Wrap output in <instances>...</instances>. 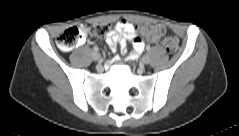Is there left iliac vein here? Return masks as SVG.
<instances>
[{"mask_svg":"<svg viewBox=\"0 0 239 136\" xmlns=\"http://www.w3.org/2000/svg\"><path fill=\"white\" fill-rule=\"evenodd\" d=\"M150 61L149 57L148 56H143L142 59H141V63L142 64H148Z\"/></svg>","mask_w":239,"mask_h":136,"instance_id":"4c4485c4","label":"left iliac vein"}]
</instances>
